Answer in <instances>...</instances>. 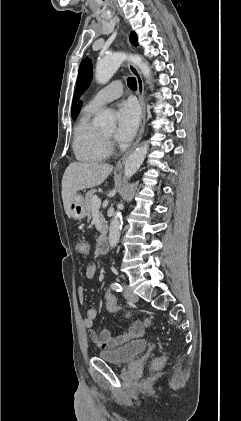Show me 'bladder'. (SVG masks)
Listing matches in <instances>:
<instances>
[{
  "mask_svg": "<svg viewBox=\"0 0 241 421\" xmlns=\"http://www.w3.org/2000/svg\"><path fill=\"white\" fill-rule=\"evenodd\" d=\"M147 347V340L138 339L116 349L101 351L98 353V357L111 364H127L142 354Z\"/></svg>",
  "mask_w": 241,
  "mask_h": 421,
  "instance_id": "bladder-1",
  "label": "bladder"
}]
</instances>
